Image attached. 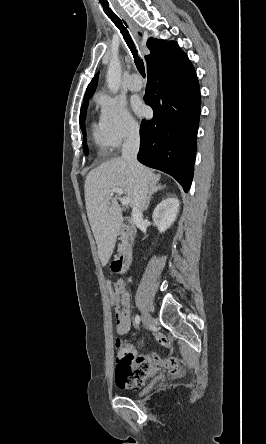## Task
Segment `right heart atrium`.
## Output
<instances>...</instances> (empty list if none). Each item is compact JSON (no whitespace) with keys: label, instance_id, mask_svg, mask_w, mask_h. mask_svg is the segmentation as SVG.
Wrapping results in <instances>:
<instances>
[{"label":"right heart atrium","instance_id":"1","mask_svg":"<svg viewBox=\"0 0 266 444\" xmlns=\"http://www.w3.org/2000/svg\"><path fill=\"white\" fill-rule=\"evenodd\" d=\"M98 104L101 108L99 125L109 147L118 149L138 135L139 124L123 101L101 96Z\"/></svg>","mask_w":266,"mask_h":444}]
</instances>
